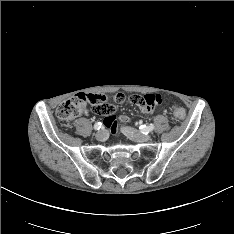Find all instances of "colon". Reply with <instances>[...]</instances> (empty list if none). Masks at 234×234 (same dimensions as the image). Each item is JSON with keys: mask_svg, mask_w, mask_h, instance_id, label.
<instances>
[{"mask_svg": "<svg viewBox=\"0 0 234 234\" xmlns=\"http://www.w3.org/2000/svg\"><path fill=\"white\" fill-rule=\"evenodd\" d=\"M88 95L89 94L80 93L61 103L56 110L57 118L61 121H70L85 109L88 110V105L86 103ZM173 114L176 120H182L185 117V110L181 107H175Z\"/></svg>", "mask_w": 234, "mask_h": 234, "instance_id": "5ec220e1", "label": "colon"}]
</instances>
